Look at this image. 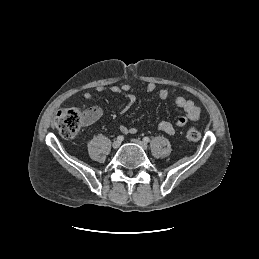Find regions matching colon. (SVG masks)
Instances as JSON below:
<instances>
[{
    "instance_id": "colon-1",
    "label": "colon",
    "mask_w": 259,
    "mask_h": 259,
    "mask_svg": "<svg viewBox=\"0 0 259 259\" xmlns=\"http://www.w3.org/2000/svg\"><path fill=\"white\" fill-rule=\"evenodd\" d=\"M93 113L91 110L84 111L80 108H67L58 111L54 123L62 137L66 139L74 138L83 124L91 120ZM201 138V132L191 127L186 132V139L189 142H197Z\"/></svg>"
}]
</instances>
